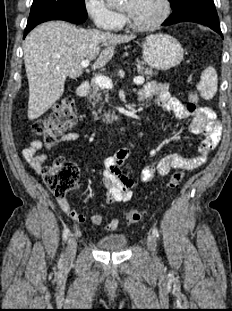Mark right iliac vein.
Here are the masks:
<instances>
[{"label": "right iliac vein", "instance_id": "obj_1", "mask_svg": "<svg viewBox=\"0 0 232 311\" xmlns=\"http://www.w3.org/2000/svg\"><path fill=\"white\" fill-rule=\"evenodd\" d=\"M76 248H77L76 239L73 237H70L67 242L66 253H65L64 264L66 266L70 265L73 262L75 258V254H76Z\"/></svg>", "mask_w": 232, "mask_h": 311}]
</instances>
